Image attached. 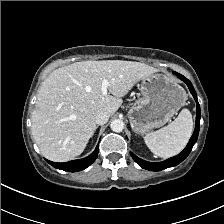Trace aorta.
Returning <instances> with one entry per match:
<instances>
[{"label":"aorta","instance_id":"1","mask_svg":"<svg viewBox=\"0 0 224 224\" xmlns=\"http://www.w3.org/2000/svg\"><path fill=\"white\" fill-rule=\"evenodd\" d=\"M110 127L114 132H122L124 129V122L120 119H115L111 122Z\"/></svg>","mask_w":224,"mask_h":224}]
</instances>
